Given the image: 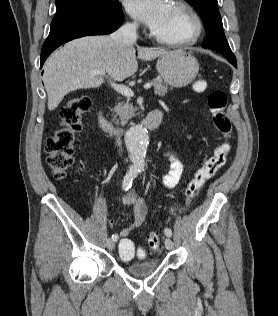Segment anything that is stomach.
<instances>
[{
  "label": "stomach",
  "instance_id": "0dacf381",
  "mask_svg": "<svg viewBox=\"0 0 278 316\" xmlns=\"http://www.w3.org/2000/svg\"><path fill=\"white\" fill-rule=\"evenodd\" d=\"M157 71L162 79L173 87H185L199 71L197 59L182 50L167 51L157 60Z\"/></svg>",
  "mask_w": 278,
  "mask_h": 316
}]
</instances>
